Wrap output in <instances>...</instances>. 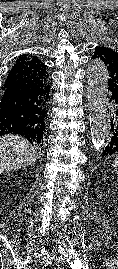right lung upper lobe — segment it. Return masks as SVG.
I'll list each match as a JSON object with an SVG mask.
<instances>
[{"instance_id": "obj_1", "label": "right lung upper lobe", "mask_w": 118, "mask_h": 269, "mask_svg": "<svg viewBox=\"0 0 118 269\" xmlns=\"http://www.w3.org/2000/svg\"><path fill=\"white\" fill-rule=\"evenodd\" d=\"M20 88L36 90V125L41 133L45 128V119L50 99V85L46 66L32 55H21L8 73L3 89Z\"/></svg>"}]
</instances>
